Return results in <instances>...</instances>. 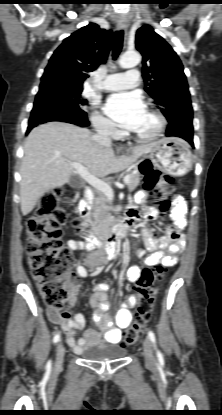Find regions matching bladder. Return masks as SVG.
I'll list each match as a JSON object with an SVG mask.
<instances>
[{"mask_svg":"<svg viewBox=\"0 0 222 415\" xmlns=\"http://www.w3.org/2000/svg\"><path fill=\"white\" fill-rule=\"evenodd\" d=\"M128 350L117 345L90 347L81 352L87 360H115L126 356Z\"/></svg>","mask_w":222,"mask_h":415,"instance_id":"31cf9c89","label":"bladder"}]
</instances>
